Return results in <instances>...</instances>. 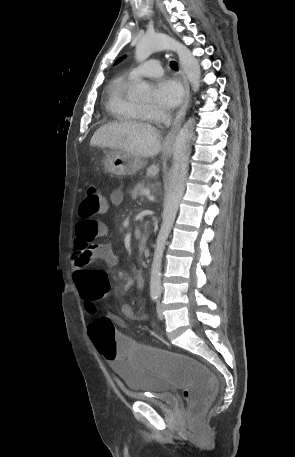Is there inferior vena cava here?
I'll return each instance as SVG.
<instances>
[{
	"instance_id": "602c4592",
	"label": "inferior vena cava",
	"mask_w": 295,
	"mask_h": 457,
	"mask_svg": "<svg viewBox=\"0 0 295 457\" xmlns=\"http://www.w3.org/2000/svg\"><path fill=\"white\" fill-rule=\"evenodd\" d=\"M162 119H163L166 127H169L170 124H171V115H170V113L169 112H164L162 114Z\"/></svg>"
}]
</instances>
